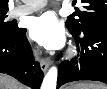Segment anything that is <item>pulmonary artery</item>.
I'll return each mask as SVG.
<instances>
[{
    "label": "pulmonary artery",
    "mask_w": 107,
    "mask_h": 89,
    "mask_svg": "<svg viewBox=\"0 0 107 89\" xmlns=\"http://www.w3.org/2000/svg\"><path fill=\"white\" fill-rule=\"evenodd\" d=\"M46 4H47L46 0H31L27 2V4L25 5L14 8L11 11V15L13 17L27 15V14H30L32 12L42 9L43 7L46 6Z\"/></svg>",
    "instance_id": "1"
}]
</instances>
